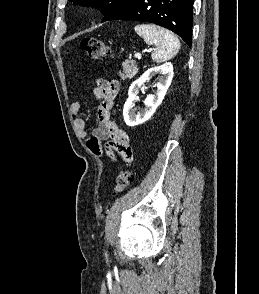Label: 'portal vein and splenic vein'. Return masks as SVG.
<instances>
[{
  "instance_id": "18ae733b",
  "label": "portal vein and splenic vein",
  "mask_w": 259,
  "mask_h": 294,
  "mask_svg": "<svg viewBox=\"0 0 259 294\" xmlns=\"http://www.w3.org/2000/svg\"><path fill=\"white\" fill-rule=\"evenodd\" d=\"M134 57L137 58V59H140V58H141V54H140V53H136V54L134 55Z\"/></svg>"
}]
</instances>
